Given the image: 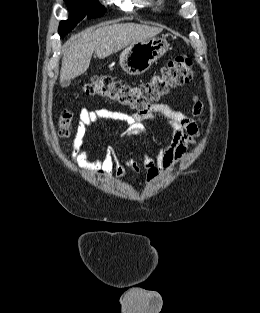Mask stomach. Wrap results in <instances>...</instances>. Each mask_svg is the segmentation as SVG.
Segmentation results:
<instances>
[{
	"label": "stomach",
	"mask_w": 260,
	"mask_h": 313,
	"mask_svg": "<svg viewBox=\"0 0 260 313\" xmlns=\"http://www.w3.org/2000/svg\"><path fill=\"white\" fill-rule=\"evenodd\" d=\"M169 49L164 38H149L130 44L120 54L121 68L129 75H140L161 58Z\"/></svg>",
	"instance_id": "stomach-1"
}]
</instances>
